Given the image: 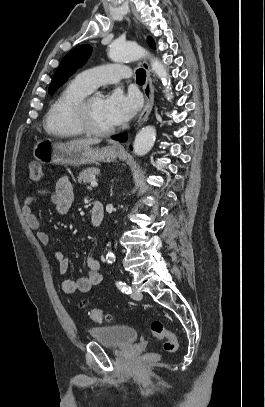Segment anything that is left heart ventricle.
<instances>
[{"instance_id":"obj_1","label":"left heart ventricle","mask_w":265,"mask_h":407,"mask_svg":"<svg viewBox=\"0 0 265 407\" xmlns=\"http://www.w3.org/2000/svg\"><path fill=\"white\" fill-rule=\"evenodd\" d=\"M91 120L98 129H109L113 126L109 122L105 110L104 100L100 97H94L90 105Z\"/></svg>"}]
</instances>
